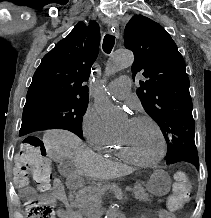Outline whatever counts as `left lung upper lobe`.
I'll return each instance as SVG.
<instances>
[{
  "label": "left lung upper lobe",
  "mask_w": 211,
  "mask_h": 218,
  "mask_svg": "<svg viewBox=\"0 0 211 218\" xmlns=\"http://www.w3.org/2000/svg\"><path fill=\"white\" fill-rule=\"evenodd\" d=\"M124 45L134 53L136 93L167 142V164L188 161L199 166L195 122L185 62L168 32L158 23L135 15L125 27Z\"/></svg>",
  "instance_id": "left-lung-upper-lobe-1"
}]
</instances>
